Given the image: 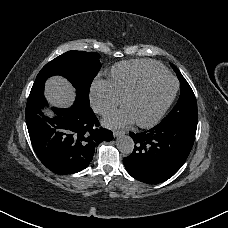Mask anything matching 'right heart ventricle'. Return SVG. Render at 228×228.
<instances>
[{
  "label": "right heart ventricle",
  "instance_id": "right-heart-ventricle-1",
  "mask_svg": "<svg viewBox=\"0 0 228 228\" xmlns=\"http://www.w3.org/2000/svg\"><path fill=\"white\" fill-rule=\"evenodd\" d=\"M165 73L167 70L155 62H122L112 68L111 82L120 96L126 98L144 79Z\"/></svg>",
  "mask_w": 228,
  "mask_h": 228
}]
</instances>
